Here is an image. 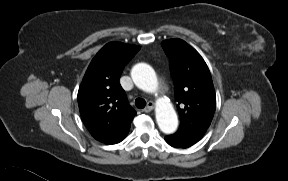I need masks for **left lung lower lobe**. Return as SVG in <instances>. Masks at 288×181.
I'll use <instances>...</instances> for the list:
<instances>
[{
	"label": "left lung lower lobe",
	"instance_id": "0a47b994",
	"mask_svg": "<svg viewBox=\"0 0 288 181\" xmlns=\"http://www.w3.org/2000/svg\"><path fill=\"white\" fill-rule=\"evenodd\" d=\"M205 132L203 131H177L165 137V141L175 148H187L199 141Z\"/></svg>",
	"mask_w": 288,
	"mask_h": 181
}]
</instances>
